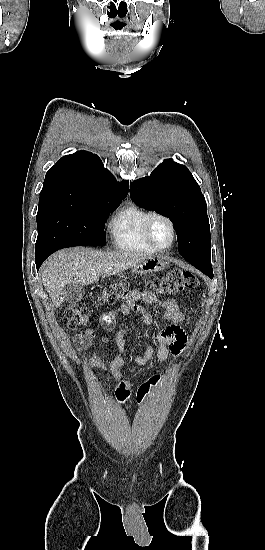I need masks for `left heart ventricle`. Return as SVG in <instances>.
Segmentation results:
<instances>
[{"instance_id": "obj_1", "label": "left heart ventricle", "mask_w": 265, "mask_h": 550, "mask_svg": "<svg viewBox=\"0 0 265 550\" xmlns=\"http://www.w3.org/2000/svg\"><path fill=\"white\" fill-rule=\"evenodd\" d=\"M152 236L155 242L161 247L168 246L172 238L171 231L168 224L161 219H157L153 223Z\"/></svg>"}]
</instances>
